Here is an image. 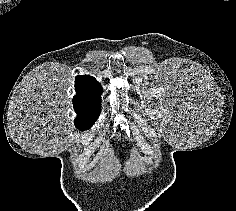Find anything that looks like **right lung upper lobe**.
Wrapping results in <instances>:
<instances>
[{
    "label": "right lung upper lobe",
    "instance_id": "obj_1",
    "mask_svg": "<svg viewBox=\"0 0 236 211\" xmlns=\"http://www.w3.org/2000/svg\"><path fill=\"white\" fill-rule=\"evenodd\" d=\"M77 95L73 98V107L79 114H100V83L92 76L78 75L75 80Z\"/></svg>",
    "mask_w": 236,
    "mask_h": 211
}]
</instances>
